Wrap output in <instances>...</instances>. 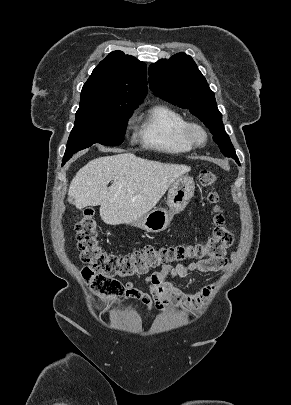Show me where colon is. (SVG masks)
Wrapping results in <instances>:
<instances>
[{
  "instance_id": "colon-1",
  "label": "colon",
  "mask_w": 291,
  "mask_h": 405,
  "mask_svg": "<svg viewBox=\"0 0 291 405\" xmlns=\"http://www.w3.org/2000/svg\"><path fill=\"white\" fill-rule=\"evenodd\" d=\"M203 187L210 189L208 201L214 205V229L205 242L178 245H146L125 255L105 252L99 241L98 224L94 211L87 209L75 225L80 258L86 264L82 276L89 287L104 298L119 299L125 289L119 278L142 275L159 266L187 259H220L233 243V234L225 225L218 207L219 194L214 189L217 175L209 169L199 174Z\"/></svg>"
}]
</instances>
